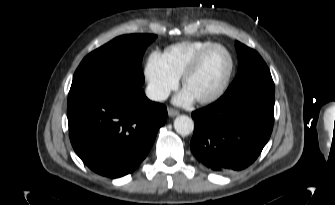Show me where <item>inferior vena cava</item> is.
<instances>
[{
  "mask_svg": "<svg viewBox=\"0 0 335 205\" xmlns=\"http://www.w3.org/2000/svg\"><path fill=\"white\" fill-rule=\"evenodd\" d=\"M169 93L166 90H161L153 86L146 88V96L153 101H163L167 99Z\"/></svg>",
  "mask_w": 335,
  "mask_h": 205,
  "instance_id": "inferior-vena-cava-1",
  "label": "inferior vena cava"
}]
</instances>
